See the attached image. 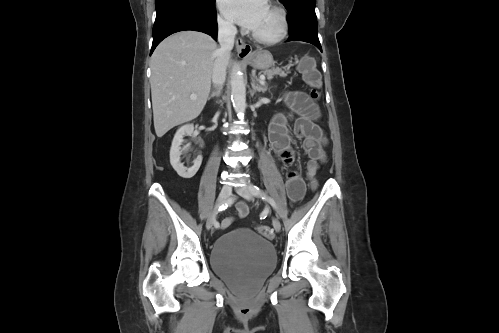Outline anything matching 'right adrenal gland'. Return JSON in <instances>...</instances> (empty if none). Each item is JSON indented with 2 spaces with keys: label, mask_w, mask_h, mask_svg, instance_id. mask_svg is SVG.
Returning a JSON list of instances; mask_svg holds the SVG:
<instances>
[{
  "label": "right adrenal gland",
  "mask_w": 499,
  "mask_h": 333,
  "mask_svg": "<svg viewBox=\"0 0 499 333\" xmlns=\"http://www.w3.org/2000/svg\"><path fill=\"white\" fill-rule=\"evenodd\" d=\"M221 90L222 88H217L215 91H213L210 96L208 97V100H210L213 97H219L221 95Z\"/></svg>",
  "instance_id": "2a0ac1e0"
}]
</instances>
